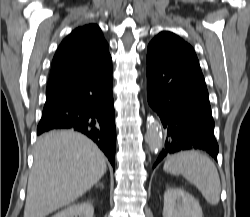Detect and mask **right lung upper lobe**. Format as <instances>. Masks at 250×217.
Returning a JSON list of instances; mask_svg holds the SVG:
<instances>
[{
  "instance_id": "right-lung-upper-lobe-1",
  "label": "right lung upper lobe",
  "mask_w": 250,
  "mask_h": 217,
  "mask_svg": "<svg viewBox=\"0 0 250 217\" xmlns=\"http://www.w3.org/2000/svg\"><path fill=\"white\" fill-rule=\"evenodd\" d=\"M112 61L101 29L89 24L75 29L58 47L46 92L84 79Z\"/></svg>"
}]
</instances>
